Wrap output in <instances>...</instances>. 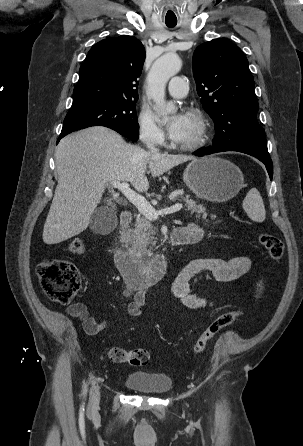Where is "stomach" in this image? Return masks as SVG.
Listing matches in <instances>:
<instances>
[{"mask_svg": "<svg viewBox=\"0 0 303 446\" xmlns=\"http://www.w3.org/2000/svg\"><path fill=\"white\" fill-rule=\"evenodd\" d=\"M188 188L201 199L224 202L242 189L244 176L232 162L219 157L193 159L183 173Z\"/></svg>", "mask_w": 303, "mask_h": 446, "instance_id": "stomach-1", "label": "stomach"}]
</instances>
